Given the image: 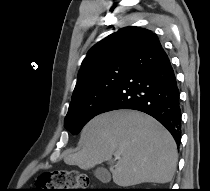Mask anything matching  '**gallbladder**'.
Wrapping results in <instances>:
<instances>
[{
    "label": "gallbladder",
    "instance_id": "1",
    "mask_svg": "<svg viewBox=\"0 0 210 191\" xmlns=\"http://www.w3.org/2000/svg\"><path fill=\"white\" fill-rule=\"evenodd\" d=\"M103 174H107V171L104 168H97L95 171V175L97 178L102 179ZM110 176L108 175V178Z\"/></svg>",
    "mask_w": 210,
    "mask_h": 191
}]
</instances>
